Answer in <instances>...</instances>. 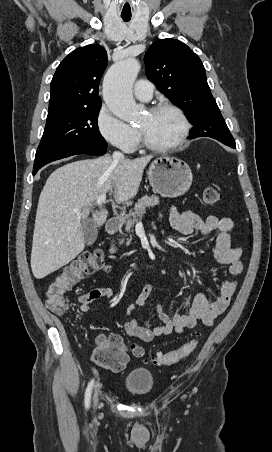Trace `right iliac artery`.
Returning <instances> with one entry per match:
<instances>
[{
    "label": "right iliac artery",
    "instance_id": "right-iliac-artery-1",
    "mask_svg": "<svg viewBox=\"0 0 272 452\" xmlns=\"http://www.w3.org/2000/svg\"><path fill=\"white\" fill-rule=\"evenodd\" d=\"M94 380H91L88 384V387L85 392V407L89 408L90 405V398H91V392L93 388Z\"/></svg>",
    "mask_w": 272,
    "mask_h": 452
}]
</instances>
